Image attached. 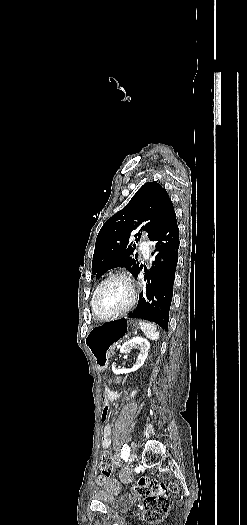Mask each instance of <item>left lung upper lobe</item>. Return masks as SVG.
Listing matches in <instances>:
<instances>
[{
  "instance_id": "left-lung-upper-lobe-1",
  "label": "left lung upper lobe",
  "mask_w": 247,
  "mask_h": 525,
  "mask_svg": "<svg viewBox=\"0 0 247 525\" xmlns=\"http://www.w3.org/2000/svg\"><path fill=\"white\" fill-rule=\"evenodd\" d=\"M174 212L167 191L155 181L145 183L100 229L92 260L96 278L116 267H125L136 276L142 265L132 258L136 245L129 241L130 236L136 237V242L143 231L148 238L152 237Z\"/></svg>"
}]
</instances>
